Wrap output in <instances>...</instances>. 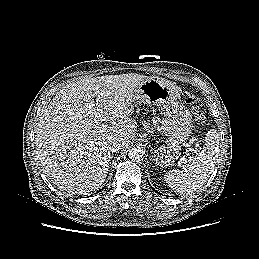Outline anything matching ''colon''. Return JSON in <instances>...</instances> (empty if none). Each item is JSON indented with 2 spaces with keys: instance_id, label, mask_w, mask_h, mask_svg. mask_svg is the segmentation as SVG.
Masks as SVG:
<instances>
[{
  "instance_id": "obj_1",
  "label": "colon",
  "mask_w": 259,
  "mask_h": 259,
  "mask_svg": "<svg viewBox=\"0 0 259 259\" xmlns=\"http://www.w3.org/2000/svg\"><path fill=\"white\" fill-rule=\"evenodd\" d=\"M188 104L191 109L194 111V121L196 125H202L205 122L206 116L201 110L202 102L200 98L195 95H192L188 98Z\"/></svg>"
}]
</instances>
